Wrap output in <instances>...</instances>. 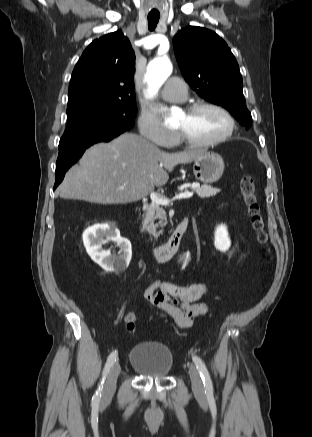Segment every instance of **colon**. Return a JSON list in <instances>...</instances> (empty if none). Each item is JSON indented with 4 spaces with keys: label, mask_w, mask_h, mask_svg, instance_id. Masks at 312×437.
Here are the masks:
<instances>
[{
    "label": "colon",
    "mask_w": 312,
    "mask_h": 437,
    "mask_svg": "<svg viewBox=\"0 0 312 437\" xmlns=\"http://www.w3.org/2000/svg\"><path fill=\"white\" fill-rule=\"evenodd\" d=\"M240 191L247 212L250 216L251 224L256 232L257 240L261 244H267L268 235L264 229V222L260 212V207L255 195L254 180L250 174H244L240 180ZM136 314L129 311L124 316L126 329L130 333L136 330Z\"/></svg>",
    "instance_id": "colon-1"
}]
</instances>
